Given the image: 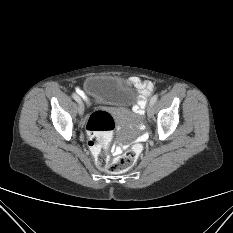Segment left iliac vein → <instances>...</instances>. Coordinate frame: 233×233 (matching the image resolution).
<instances>
[{
	"mask_svg": "<svg viewBox=\"0 0 233 233\" xmlns=\"http://www.w3.org/2000/svg\"><path fill=\"white\" fill-rule=\"evenodd\" d=\"M146 111H147L148 117H152L153 116V104L149 102V104L147 105Z\"/></svg>",
	"mask_w": 233,
	"mask_h": 233,
	"instance_id": "obj_1",
	"label": "left iliac vein"
}]
</instances>
